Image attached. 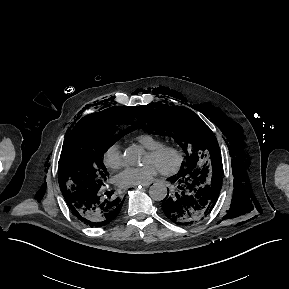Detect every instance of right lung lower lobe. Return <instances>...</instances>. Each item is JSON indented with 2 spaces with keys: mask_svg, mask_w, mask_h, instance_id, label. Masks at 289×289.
<instances>
[{
  "mask_svg": "<svg viewBox=\"0 0 289 289\" xmlns=\"http://www.w3.org/2000/svg\"><path fill=\"white\" fill-rule=\"evenodd\" d=\"M112 193L102 196L98 189L66 202L72 214L82 223L90 227H102L115 219L125 199L112 196Z\"/></svg>",
  "mask_w": 289,
  "mask_h": 289,
  "instance_id": "98d812e1",
  "label": "right lung lower lobe"
}]
</instances>
